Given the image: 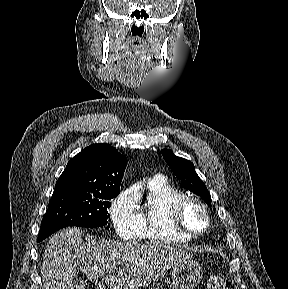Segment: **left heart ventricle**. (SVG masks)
Segmentation results:
<instances>
[{"label":"left heart ventricle","mask_w":288,"mask_h":289,"mask_svg":"<svg viewBox=\"0 0 288 289\" xmlns=\"http://www.w3.org/2000/svg\"><path fill=\"white\" fill-rule=\"evenodd\" d=\"M181 221L190 232H200L206 226V218L203 211L192 203L183 208Z\"/></svg>","instance_id":"1"}]
</instances>
